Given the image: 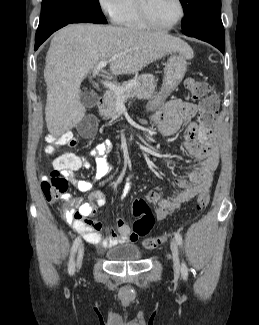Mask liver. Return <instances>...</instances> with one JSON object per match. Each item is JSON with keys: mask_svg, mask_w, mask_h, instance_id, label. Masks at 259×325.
Segmentation results:
<instances>
[{"mask_svg": "<svg viewBox=\"0 0 259 325\" xmlns=\"http://www.w3.org/2000/svg\"><path fill=\"white\" fill-rule=\"evenodd\" d=\"M192 57L183 40L164 32H149L98 24H72L52 38L46 55L45 120L54 137L70 131L85 116L80 85L100 61H110L114 75L133 74L165 55Z\"/></svg>", "mask_w": 259, "mask_h": 325, "instance_id": "1", "label": "liver"}]
</instances>
